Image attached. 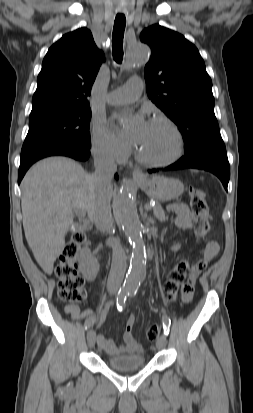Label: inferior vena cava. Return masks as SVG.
<instances>
[{
	"mask_svg": "<svg viewBox=\"0 0 253 413\" xmlns=\"http://www.w3.org/2000/svg\"><path fill=\"white\" fill-rule=\"evenodd\" d=\"M95 173L93 175L95 185L99 191L97 207L94 212V222L98 230L111 231L113 218L110 201L107 198V190L111 186V180L117 170L114 157L107 152H98L94 155ZM108 244L112 247V265L108 278L107 288L110 293L116 292L123 282L126 271V255L120 242L110 238Z\"/></svg>",
	"mask_w": 253,
	"mask_h": 413,
	"instance_id": "inferior-vena-cava-1",
	"label": "inferior vena cava"
}]
</instances>
